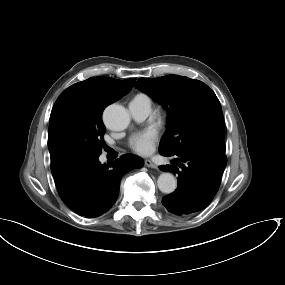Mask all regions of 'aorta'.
I'll use <instances>...</instances> for the list:
<instances>
[{"label": "aorta", "instance_id": "1", "mask_svg": "<svg viewBox=\"0 0 285 285\" xmlns=\"http://www.w3.org/2000/svg\"><path fill=\"white\" fill-rule=\"evenodd\" d=\"M103 120L111 130L121 131L129 125L130 116L122 105L112 104L105 109ZM157 185L161 192L170 194L175 191L177 181L173 174L164 172L158 177Z\"/></svg>", "mask_w": 285, "mask_h": 285}]
</instances>
